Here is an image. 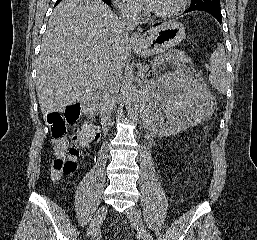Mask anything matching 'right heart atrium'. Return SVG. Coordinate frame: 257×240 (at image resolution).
<instances>
[{
	"mask_svg": "<svg viewBox=\"0 0 257 240\" xmlns=\"http://www.w3.org/2000/svg\"><path fill=\"white\" fill-rule=\"evenodd\" d=\"M118 9L122 14L130 18H138L140 16V8L135 0H115Z\"/></svg>",
	"mask_w": 257,
	"mask_h": 240,
	"instance_id": "obj_1",
	"label": "right heart atrium"
}]
</instances>
